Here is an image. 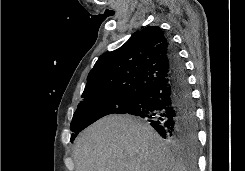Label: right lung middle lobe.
<instances>
[{"label":"right lung middle lobe","instance_id":"1","mask_svg":"<svg viewBox=\"0 0 245 171\" xmlns=\"http://www.w3.org/2000/svg\"><path fill=\"white\" fill-rule=\"evenodd\" d=\"M140 96H113L98 100H84L78 105L71 122V142L77 134L96 120L115 113H127L140 101Z\"/></svg>","mask_w":245,"mask_h":171}]
</instances>
